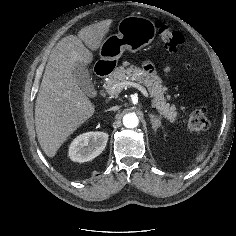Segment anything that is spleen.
Here are the masks:
<instances>
[{
    "label": "spleen",
    "mask_w": 236,
    "mask_h": 236,
    "mask_svg": "<svg viewBox=\"0 0 236 236\" xmlns=\"http://www.w3.org/2000/svg\"><path fill=\"white\" fill-rule=\"evenodd\" d=\"M203 158H204V153H202V154L197 158V162H200Z\"/></svg>",
    "instance_id": "obj_1"
}]
</instances>
